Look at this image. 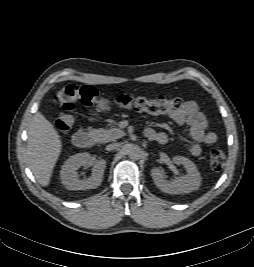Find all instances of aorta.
Segmentation results:
<instances>
[{
    "instance_id": "aorta-1",
    "label": "aorta",
    "mask_w": 254,
    "mask_h": 267,
    "mask_svg": "<svg viewBox=\"0 0 254 267\" xmlns=\"http://www.w3.org/2000/svg\"><path fill=\"white\" fill-rule=\"evenodd\" d=\"M127 154L132 160H139L143 155V151L138 145L129 144L127 146Z\"/></svg>"
}]
</instances>
